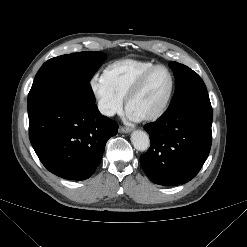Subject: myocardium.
I'll use <instances>...</instances> for the list:
<instances>
[{"label": "myocardium", "mask_w": 247, "mask_h": 247, "mask_svg": "<svg viewBox=\"0 0 247 247\" xmlns=\"http://www.w3.org/2000/svg\"><path fill=\"white\" fill-rule=\"evenodd\" d=\"M157 69L166 70V72L168 73L169 78H170V88H169V91H168L166 98L161 103V105L159 107H157L156 109H154L153 111L149 112L148 114L142 115L140 117V119H142V120L152 121V120H156L157 118H159L168 108V106L172 100L173 94H174L175 80H174V76H173L171 70L167 66L162 65V64L154 65L151 68H149L148 70H146L138 78V80L131 87V89L128 91V93L126 95V108H127V110L130 109V104H131L132 100L142 92L148 79Z\"/></svg>", "instance_id": "myocardium-1"}]
</instances>
